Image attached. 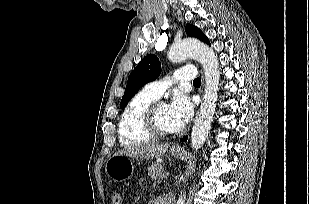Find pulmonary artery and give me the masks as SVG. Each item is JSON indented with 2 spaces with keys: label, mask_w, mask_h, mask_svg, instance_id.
<instances>
[{
  "label": "pulmonary artery",
  "mask_w": 309,
  "mask_h": 204,
  "mask_svg": "<svg viewBox=\"0 0 309 204\" xmlns=\"http://www.w3.org/2000/svg\"><path fill=\"white\" fill-rule=\"evenodd\" d=\"M196 70L193 67H183L175 71L171 77L156 80L144 86V91L155 98H160L163 92L174 82H182L196 79Z\"/></svg>",
  "instance_id": "pulmonary-artery-1"
}]
</instances>
